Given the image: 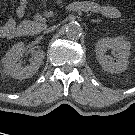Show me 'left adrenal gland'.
I'll use <instances>...</instances> for the list:
<instances>
[{"label": "left adrenal gland", "instance_id": "obj_1", "mask_svg": "<svg viewBox=\"0 0 135 135\" xmlns=\"http://www.w3.org/2000/svg\"><path fill=\"white\" fill-rule=\"evenodd\" d=\"M92 23H98L100 20H91Z\"/></svg>", "mask_w": 135, "mask_h": 135}]
</instances>
